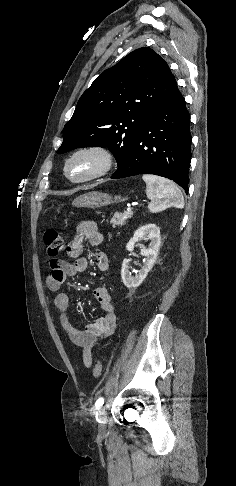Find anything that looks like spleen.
<instances>
[{
	"instance_id": "obj_1",
	"label": "spleen",
	"mask_w": 236,
	"mask_h": 486,
	"mask_svg": "<svg viewBox=\"0 0 236 486\" xmlns=\"http://www.w3.org/2000/svg\"><path fill=\"white\" fill-rule=\"evenodd\" d=\"M142 179L146 183V195L151 200L148 205L150 212H159L168 207H184L183 194L172 181L150 174L143 175Z\"/></svg>"
}]
</instances>
